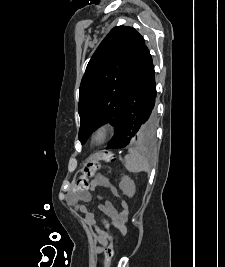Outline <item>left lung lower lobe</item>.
Returning a JSON list of instances; mask_svg holds the SVG:
<instances>
[{
	"mask_svg": "<svg viewBox=\"0 0 225 267\" xmlns=\"http://www.w3.org/2000/svg\"><path fill=\"white\" fill-rule=\"evenodd\" d=\"M156 93L152 57L145 46L131 79L118 130L107 149L123 148L131 144L141 124L145 125V136L155 131Z\"/></svg>",
	"mask_w": 225,
	"mask_h": 267,
	"instance_id": "0a47b994",
	"label": "left lung lower lobe"
}]
</instances>
